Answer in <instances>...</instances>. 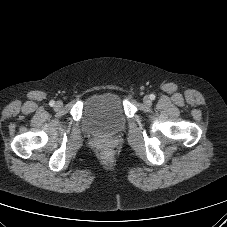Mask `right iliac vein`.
Masks as SVG:
<instances>
[{
    "label": "right iliac vein",
    "mask_w": 227,
    "mask_h": 227,
    "mask_svg": "<svg viewBox=\"0 0 227 227\" xmlns=\"http://www.w3.org/2000/svg\"><path fill=\"white\" fill-rule=\"evenodd\" d=\"M56 108H61L62 107V102L61 101H57L55 104Z\"/></svg>",
    "instance_id": "1"
}]
</instances>
